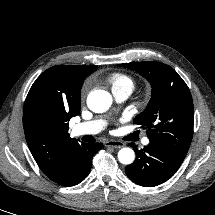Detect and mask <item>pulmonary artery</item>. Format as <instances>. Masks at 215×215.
Wrapping results in <instances>:
<instances>
[{
    "instance_id": "obj_1",
    "label": "pulmonary artery",
    "mask_w": 215,
    "mask_h": 215,
    "mask_svg": "<svg viewBox=\"0 0 215 215\" xmlns=\"http://www.w3.org/2000/svg\"><path fill=\"white\" fill-rule=\"evenodd\" d=\"M132 92L130 90L124 89L119 91H113L114 98L117 102L125 101ZM105 127V121L98 119L92 120L88 122H83L75 125L72 129V134L74 136H82V135H94L102 131ZM149 139L146 137L143 139V145L149 144Z\"/></svg>"
}]
</instances>
